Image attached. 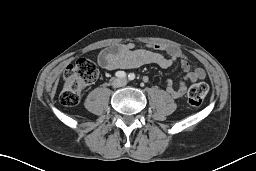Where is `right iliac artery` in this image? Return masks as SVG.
Listing matches in <instances>:
<instances>
[{
	"label": "right iliac artery",
	"mask_w": 256,
	"mask_h": 171,
	"mask_svg": "<svg viewBox=\"0 0 256 171\" xmlns=\"http://www.w3.org/2000/svg\"><path fill=\"white\" fill-rule=\"evenodd\" d=\"M115 75L119 78H125L127 76V74L124 71H118Z\"/></svg>",
	"instance_id": "right-iliac-artery-1"
}]
</instances>
